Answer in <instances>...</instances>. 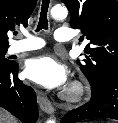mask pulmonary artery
Segmentation results:
<instances>
[{
  "instance_id": "obj_1",
  "label": "pulmonary artery",
  "mask_w": 118,
  "mask_h": 123,
  "mask_svg": "<svg viewBox=\"0 0 118 123\" xmlns=\"http://www.w3.org/2000/svg\"><path fill=\"white\" fill-rule=\"evenodd\" d=\"M26 38L15 42L11 45L9 52L11 54H19L28 51L40 49L44 46L45 42L31 34H25ZM54 38L60 42H67L73 39V34L69 28L60 27L54 33Z\"/></svg>"
}]
</instances>
